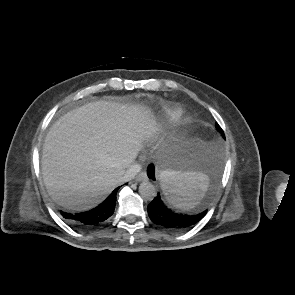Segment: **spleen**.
I'll return each instance as SVG.
<instances>
[{
    "instance_id": "spleen-1",
    "label": "spleen",
    "mask_w": 295,
    "mask_h": 295,
    "mask_svg": "<svg viewBox=\"0 0 295 295\" xmlns=\"http://www.w3.org/2000/svg\"><path fill=\"white\" fill-rule=\"evenodd\" d=\"M161 186L170 204L182 210L198 205L208 185L206 174L197 172L176 173L162 171Z\"/></svg>"
}]
</instances>
